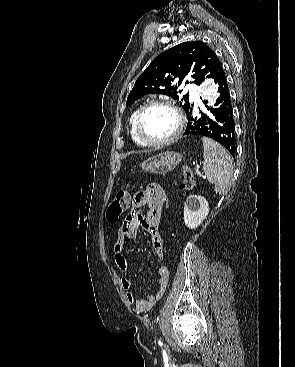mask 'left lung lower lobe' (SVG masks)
<instances>
[{
	"mask_svg": "<svg viewBox=\"0 0 295 367\" xmlns=\"http://www.w3.org/2000/svg\"><path fill=\"white\" fill-rule=\"evenodd\" d=\"M211 78L218 84L220 96L214 107L208 109L209 113L207 114L200 111L201 116H197L193 114L190 106L186 112L188 122L184 134L212 138L222 144L231 155H234L236 146L235 123L227 80L220 62L216 64ZM204 103H207V100Z\"/></svg>",
	"mask_w": 295,
	"mask_h": 367,
	"instance_id": "0a47b994",
	"label": "left lung lower lobe"
}]
</instances>
